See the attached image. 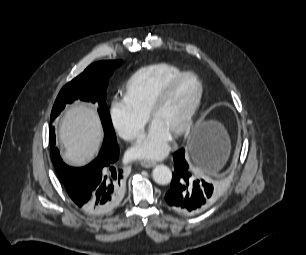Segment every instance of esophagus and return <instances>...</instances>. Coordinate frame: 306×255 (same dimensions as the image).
<instances>
[{
	"label": "esophagus",
	"instance_id": "34e87169",
	"mask_svg": "<svg viewBox=\"0 0 306 255\" xmlns=\"http://www.w3.org/2000/svg\"><path fill=\"white\" fill-rule=\"evenodd\" d=\"M156 165V162L151 161V160H144L141 162V166L144 168H151Z\"/></svg>",
	"mask_w": 306,
	"mask_h": 255
}]
</instances>
